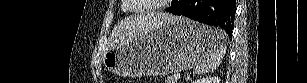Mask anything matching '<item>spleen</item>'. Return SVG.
Listing matches in <instances>:
<instances>
[{
  "label": "spleen",
  "mask_w": 307,
  "mask_h": 83,
  "mask_svg": "<svg viewBox=\"0 0 307 83\" xmlns=\"http://www.w3.org/2000/svg\"><path fill=\"white\" fill-rule=\"evenodd\" d=\"M213 45L209 48L207 55L196 65L195 74L213 72L222 62L226 53L225 33L218 29L211 28Z\"/></svg>",
  "instance_id": "3e777b00"
}]
</instances>
